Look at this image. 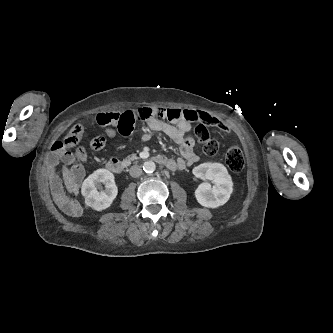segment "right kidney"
<instances>
[{
  "mask_svg": "<svg viewBox=\"0 0 333 333\" xmlns=\"http://www.w3.org/2000/svg\"><path fill=\"white\" fill-rule=\"evenodd\" d=\"M102 184H105V189H102ZM81 193L86 206L97 211L107 209L118 193L113 173L106 169L96 170L84 180Z\"/></svg>",
  "mask_w": 333,
  "mask_h": 333,
  "instance_id": "ca27d5eb",
  "label": "right kidney"
}]
</instances>
